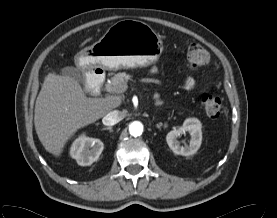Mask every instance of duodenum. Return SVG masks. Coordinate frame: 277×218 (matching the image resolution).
<instances>
[{"mask_svg": "<svg viewBox=\"0 0 277 218\" xmlns=\"http://www.w3.org/2000/svg\"><path fill=\"white\" fill-rule=\"evenodd\" d=\"M104 79L105 73L102 69L96 68L89 72L86 82L89 92L91 94H97L103 85Z\"/></svg>", "mask_w": 277, "mask_h": 218, "instance_id": "410a0bca", "label": "duodenum"}]
</instances>
